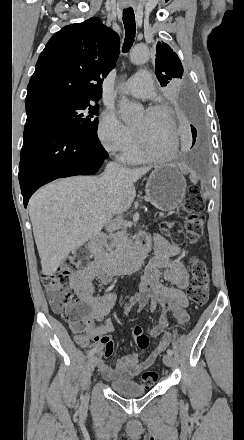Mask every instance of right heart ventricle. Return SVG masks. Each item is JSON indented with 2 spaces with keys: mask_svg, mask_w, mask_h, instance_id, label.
<instances>
[{
  "mask_svg": "<svg viewBox=\"0 0 244 440\" xmlns=\"http://www.w3.org/2000/svg\"><path fill=\"white\" fill-rule=\"evenodd\" d=\"M120 159L128 164H146L150 162L151 156L146 152L145 147H140V143H137L132 150L123 152Z\"/></svg>",
  "mask_w": 244,
  "mask_h": 440,
  "instance_id": "1",
  "label": "right heart ventricle"
}]
</instances>
